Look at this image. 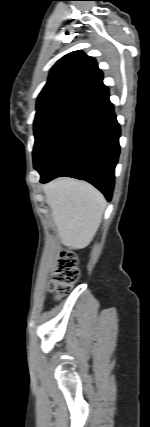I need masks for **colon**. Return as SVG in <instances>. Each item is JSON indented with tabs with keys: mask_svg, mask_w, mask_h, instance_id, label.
Segmentation results:
<instances>
[{
	"mask_svg": "<svg viewBox=\"0 0 150 427\" xmlns=\"http://www.w3.org/2000/svg\"><path fill=\"white\" fill-rule=\"evenodd\" d=\"M78 261L71 252L62 253L59 266L50 283V290L58 297L66 295L79 279Z\"/></svg>",
	"mask_w": 150,
	"mask_h": 427,
	"instance_id": "colon-1",
	"label": "colon"
}]
</instances>
